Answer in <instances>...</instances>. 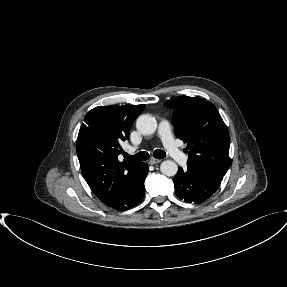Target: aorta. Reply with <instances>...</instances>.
Instances as JSON below:
<instances>
[{
  "instance_id": "aorta-1",
  "label": "aorta",
  "mask_w": 287,
  "mask_h": 287,
  "mask_svg": "<svg viewBox=\"0 0 287 287\" xmlns=\"http://www.w3.org/2000/svg\"><path fill=\"white\" fill-rule=\"evenodd\" d=\"M136 127L142 134L151 135L157 129V121L152 115L143 114L137 118ZM160 171L163 175L172 177L176 175L178 166L172 160H165L160 165Z\"/></svg>"
}]
</instances>
